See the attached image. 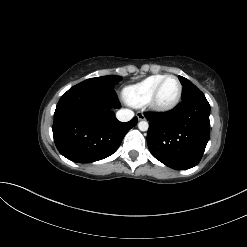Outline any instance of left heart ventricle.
<instances>
[{
	"instance_id": "b2bd125f",
	"label": "left heart ventricle",
	"mask_w": 247,
	"mask_h": 247,
	"mask_svg": "<svg viewBox=\"0 0 247 247\" xmlns=\"http://www.w3.org/2000/svg\"><path fill=\"white\" fill-rule=\"evenodd\" d=\"M178 93L177 81L173 78H169L163 84L159 93V102L162 104H168L172 102Z\"/></svg>"
}]
</instances>
